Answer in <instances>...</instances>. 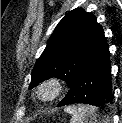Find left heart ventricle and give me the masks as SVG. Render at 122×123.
Returning a JSON list of instances; mask_svg holds the SVG:
<instances>
[{"instance_id": "left-heart-ventricle-1", "label": "left heart ventricle", "mask_w": 122, "mask_h": 123, "mask_svg": "<svg viewBox=\"0 0 122 123\" xmlns=\"http://www.w3.org/2000/svg\"><path fill=\"white\" fill-rule=\"evenodd\" d=\"M50 94H51V90L50 89H46V90L43 91V95L44 96H48Z\"/></svg>"}]
</instances>
